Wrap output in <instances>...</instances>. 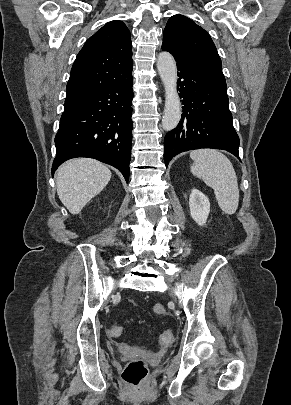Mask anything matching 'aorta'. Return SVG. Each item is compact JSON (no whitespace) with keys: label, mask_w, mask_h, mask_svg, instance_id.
Masks as SVG:
<instances>
[{"label":"aorta","mask_w":291,"mask_h":405,"mask_svg":"<svg viewBox=\"0 0 291 405\" xmlns=\"http://www.w3.org/2000/svg\"><path fill=\"white\" fill-rule=\"evenodd\" d=\"M157 69L165 89L162 127L170 131L178 125L181 118V102L177 92V68L173 56L168 52L159 53Z\"/></svg>","instance_id":"1"}]
</instances>
